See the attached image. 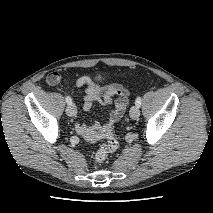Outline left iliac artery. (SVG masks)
Here are the masks:
<instances>
[{
    "label": "left iliac artery",
    "mask_w": 213,
    "mask_h": 213,
    "mask_svg": "<svg viewBox=\"0 0 213 213\" xmlns=\"http://www.w3.org/2000/svg\"><path fill=\"white\" fill-rule=\"evenodd\" d=\"M136 106L140 107L141 106V97H137L135 101Z\"/></svg>",
    "instance_id": "44dca946"
}]
</instances>
